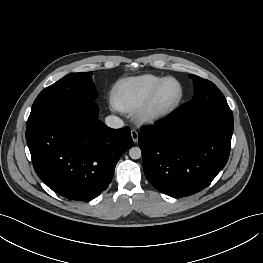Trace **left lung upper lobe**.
<instances>
[{"label": "left lung upper lobe", "instance_id": "1", "mask_svg": "<svg viewBox=\"0 0 263 263\" xmlns=\"http://www.w3.org/2000/svg\"><path fill=\"white\" fill-rule=\"evenodd\" d=\"M193 80L194 96L180 109L186 116H196L211 111H231L217 86L199 76L189 75Z\"/></svg>", "mask_w": 263, "mask_h": 263}]
</instances>
